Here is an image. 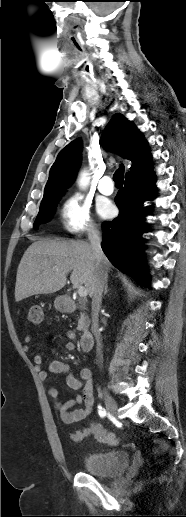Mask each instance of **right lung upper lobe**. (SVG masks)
I'll return each instance as SVG.
<instances>
[{"mask_svg": "<svg viewBox=\"0 0 186 517\" xmlns=\"http://www.w3.org/2000/svg\"><path fill=\"white\" fill-rule=\"evenodd\" d=\"M104 147L118 152L131 160L132 166L126 176L150 164L151 156L147 142L135 125L122 114H115L101 137ZM82 142L76 139L64 147L51 167L49 179L44 189V198L61 194L73 182L80 166Z\"/></svg>", "mask_w": 186, "mask_h": 517, "instance_id": "right-lung-upper-lobe-1", "label": "right lung upper lobe"}]
</instances>
